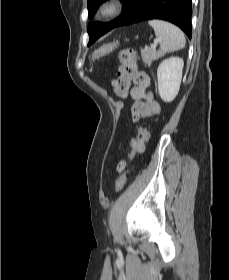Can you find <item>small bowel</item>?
<instances>
[{"mask_svg":"<svg viewBox=\"0 0 229 280\" xmlns=\"http://www.w3.org/2000/svg\"><path fill=\"white\" fill-rule=\"evenodd\" d=\"M116 85L117 80L113 82V86L115 87V92L120 97L125 98L129 95L135 101L133 107L134 118L148 117L160 113L159 104L153 99L147 88L139 85L131 88V83H129L124 90L119 92L116 89Z\"/></svg>","mask_w":229,"mask_h":280,"instance_id":"c3829d8e","label":"small bowel"}]
</instances>
